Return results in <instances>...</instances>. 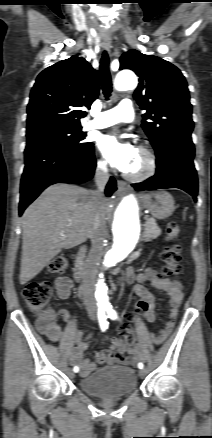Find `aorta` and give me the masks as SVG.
Returning <instances> with one entry per match:
<instances>
[{
	"instance_id": "1",
	"label": "aorta",
	"mask_w": 212,
	"mask_h": 438,
	"mask_svg": "<svg viewBox=\"0 0 212 438\" xmlns=\"http://www.w3.org/2000/svg\"><path fill=\"white\" fill-rule=\"evenodd\" d=\"M137 83V77L131 71H122L115 78V88L118 91L134 89ZM112 233L113 247L105 254L101 271L94 282L95 296L101 305L109 304L108 285L104 274L109 268L127 258L141 235L139 207L132 194L123 197L115 208Z\"/></svg>"
}]
</instances>
